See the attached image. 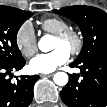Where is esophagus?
Instances as JSON below:
<instances>
[{"label":"esophagus","instance_id":"34e87169","mask_svg":"<svg viewBox=\"0 0 107 107\" xmlns=\"http://www.w3.org/2000/svg\"><path fill=\"white\" fill-rule=\"evenodd\" d=\"M40 76H41V77H52L53 74H52V73H50V74H41Z\"/></svg>","mask_w":107,"mask_h":107}]
</instances>
